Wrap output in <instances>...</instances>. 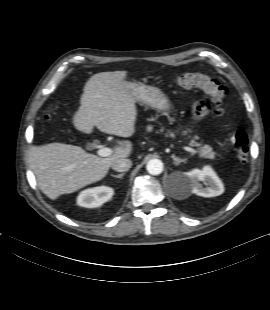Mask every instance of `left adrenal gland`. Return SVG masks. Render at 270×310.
Instances as JSON below:
<instances>
[{"instance_id":"left-adrenal-gland-1","label":"left adrenal gland","mask_w":270,"mask_h":310,"mask_svg":"<svg viewBox=\"0 0 270 310\" xmlns=\"http://www.w3.org/2000/svg\"><path fill=\"white\" fill-rule=\"evenodd\" d=\"M171 157L174 160L175 165H179L181 162H186V160H187V159H181V158L175 156L174 154Z\"/></svg>"}]
</instances>
